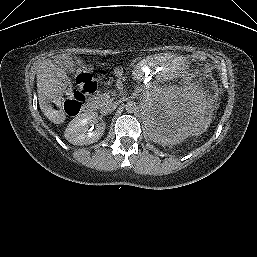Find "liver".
<instances>
[{"mask_svg":"<svg viewBox=\"0 0 257 257\" xmlns=\"http://www.w3.org/2000/svg\"><path fill=\"white\" fill-rule=\"evenodd\" d=\"M37 92L40 108L43 114L53 123L59 124L66 118L62 109L56 110L52 102L60 106V74L51 61L39 65L37 73Z\"/></svg>","mask_w":257,"mask_h":257,"instance_id":"liver-1","label":"liver"}]
</instances>
